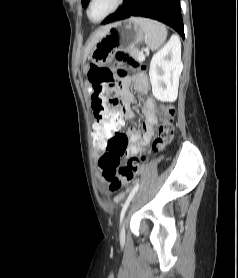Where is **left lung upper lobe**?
Returning a JSON list of instances; mask_svg holds the SVG:
<instances>
[{"label": "left lung upper lobe", "instance_id": "5c2ea615", "mask_svg": "<svg viewBox=\"0 0 238 278\" xmlns=\"http://www.w3.org/2000/svg\"><path fill=\"white\" fill-rule=\"evenodd\" d=\"M87 1H88V0H83V1H82L83 6L86 4Z\"/></svg>", "mask_w": 238, "mask_h": 278}]
</instances>
